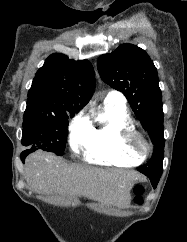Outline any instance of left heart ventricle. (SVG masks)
<instances>
[{
	"instance_id": "1",
	"label": "left heart ventricle",
	"mask_w": 187,
	"mask_h": 242,
	"mask_svg": "<svg viewBox=\"0 0 187 242\" xmlns=\"http://www.w3.org/2000/svg\"><path fill=\"white\" fill-rule=\"evenodd\" d=\"M135 147H136V149L138 150L139 153L146 152V146L141 140L135 141Z\"/></svg>"
}]
</instances>
